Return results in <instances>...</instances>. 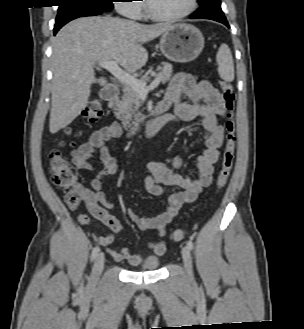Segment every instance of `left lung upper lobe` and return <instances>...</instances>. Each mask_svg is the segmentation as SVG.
Wrapping results in <instances>:
<instances>
[{"instance_id":"1","label":"left lung upper lobe","mask_w":304,"mask_h":329,"mask_svg":"<svg viewBox=\"0 0 304 329\" xmlns=\"http://www.w3.org/2000/svg\"><path fill=\"white\" fill-rule=\"evenodd\" d=\"M204 0H198V3L200 4L201 2H203Z\"/></svg>"}]
</instances>
